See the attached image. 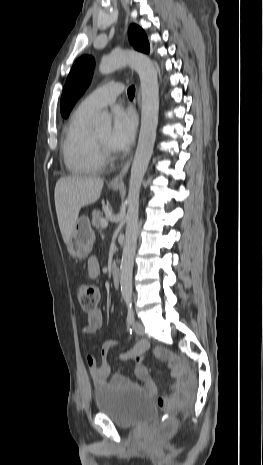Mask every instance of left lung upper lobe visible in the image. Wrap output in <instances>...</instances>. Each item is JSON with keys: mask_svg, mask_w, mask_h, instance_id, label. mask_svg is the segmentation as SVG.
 I'll return each instance as SVG.
<instances>
[{"mask_svg": "<svg viewBox=\"0 0 263 465\" xmlns=\"http://www.w3.org/2000/svg\"><path fill=\"white\" fill-rule=\"evenodd\" d=\"M129 41L133 47L143 53H149L150 46L145 32L132 24L128 30ZM94 59L91 56H81L76 60L66 80L62 91L60 110L63 118L69 116L76 101L88 87L93 73Z\"/></svg>", "mask_w": 263, "mask_h": 465, "instance_id": "5c2ea615", "label": "left lung upper lobe"}]
</instances>
